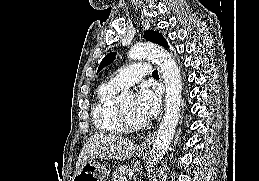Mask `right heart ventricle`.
Wrapping results in <instances>:
<instances>
[{
	"label": "right heart ventricle",
	"instance_id": "obj_1",
	"mask_svg": "<svg viewBox=\"0 0 259 181\" xmlns=\"http://www.w3.org/2000/svg\"><path fill=\"white\" fill-rule=\"evenodd\" d=\"M120 90L111 83H103L96 90L92 119L102 132L123 133L125 130L115 104V96Z\"/></svg>",
	"mask_w": 259,
	"mask_h": 181
}]
</instances>
